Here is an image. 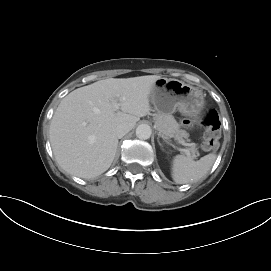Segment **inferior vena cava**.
<instances>
[{"instance_id": "inferior-vena-cava-1", "label": "inferior vena cava", "mask_w": 271, "mask_h": 271, "mask_svg": "<svg viewBox=\"0 0 271 271\" xmlns=\"http://www.w3.org/2000/svg\"><path fill=\"white\" fill-rule=\"evenodd\" d=\"M132 129L130 124L123 123L117 126L116 128V136L118 138H122L124 135H126L130 130Z\"/></svg>"}]
</instances>
